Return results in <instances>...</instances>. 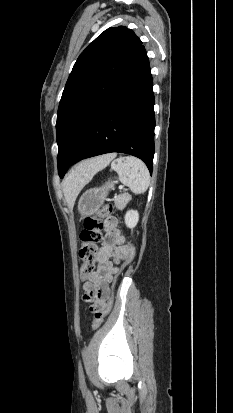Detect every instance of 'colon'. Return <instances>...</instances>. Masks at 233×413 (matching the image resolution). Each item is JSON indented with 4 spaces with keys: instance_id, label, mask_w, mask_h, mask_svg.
<instances>
[{
    "instance_id": "5ec220e1",
    "label": "colon",
    "mask_w": 233,
    "mask_h": 413,
    "mask_svg": "<svg viewBox=\"0 0 233 413\" xmlns=\"http://www.w3.org/2000/svg\"><path fill=\"white\" fill-rule=\"evenodd\" d=\"M112 205L107 204L103 206L95 215L87 217L84 220V226L80 232L81 247L79 249V257L83 261L81 266V275L83 278H90L94 273L95 262L97 258L98 243L102 239V231L106 227L104 218L108 217L112 212ZM135 255V249L131 244L127 245L123 267L129 264ZM85 296V295H84ZM114 297L107 299L104 305L99 303L98 307L91 306L94 311V319L92 323V330H97L104 319L107 317L112 309Z\"/></svg>"
}]
</instances>
